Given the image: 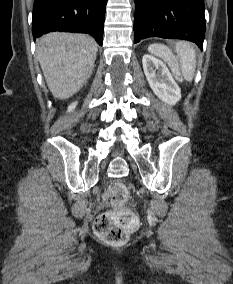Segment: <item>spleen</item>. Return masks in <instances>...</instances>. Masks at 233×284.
Masks as SVG:
<instances>
[{
    "label": "spleen",
    "instance_id": "obj_1",
    "mask_svg": "<svg viewBox=\"0 0 233 284\" xmlns=\"http://www.w3.org/2000/svg\"><path fill=\"white\" fill-rule=\"evenodd\" d=\"M175 48L179 57L180 71L182 76L186 81L191 82L196 68L195 49L190 43L184 41L177 42ZM148 51L154 55L164 58L172 67L174 74L178 75L179 67L174 65L173 55L167 46L154 43L148 47Z\"/></svg>",
    "mask_w": 233,
    "mask_h": 284
}]
</instances>
